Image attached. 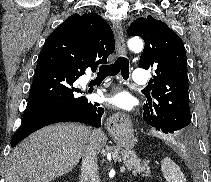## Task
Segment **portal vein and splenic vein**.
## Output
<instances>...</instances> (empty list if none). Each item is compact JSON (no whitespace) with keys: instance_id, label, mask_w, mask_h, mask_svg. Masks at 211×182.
<instances>
[{"instance_id":"18ae733b","label":"portal vein and splenic vein","mask_w":211,"mask_h":182,"mask_svg":"<svg viewBox=\"0 0 211 182\" xmlns=\"http://www.w3.org/2000/svg\"><path fill=\"white\" fill-rule=\"evenodd\" d=\"M125 170H126L125 167H121V168H120V171H121L122 173L125 172Z\"/></svg>"}]
</instances>
